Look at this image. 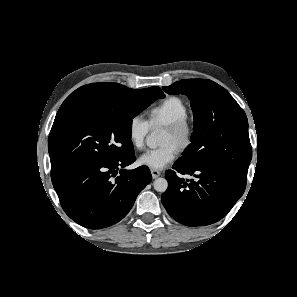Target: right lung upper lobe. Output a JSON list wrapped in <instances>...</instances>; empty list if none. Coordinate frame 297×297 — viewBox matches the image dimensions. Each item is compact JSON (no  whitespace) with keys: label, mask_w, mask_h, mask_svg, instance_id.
<instances>
[{"label":"right lung upper lobe","mask_w":297,"mask_h":297,"mask_svg":"<svg viewBox=\"0 0 297 297\" xmlns=\"http://www.w3.org/2000/svg\"><path fill=\"white\" fill-rule=\"evenodd\" d=\"M150 88H153L165 97L159 87ZM134 91V89L127 88L118 83H92L84 85L76 89L65 99L57 112L54 123L87 107L118 104L123 102L125 98L129 97Z\"/></svg>","instance_id":"cb5924a9"}]
</instances>
